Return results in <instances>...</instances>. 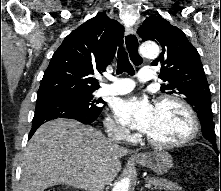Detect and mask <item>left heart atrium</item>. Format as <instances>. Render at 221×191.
<instances>
[{
  "instance_id": "left-heart-atrium-1",
  "label": "left heart atrium",
  "mask_w": 221,
  "mask_h": 191,
  "mask_svg": "<svg viewBox=\"0 0 221 191\" xmlns=\"http://www.w3.org/2000/svg\"><path fill=\"white\" fill-rule=\"evenodd\" d=\"M114 112L122 123L147 133L154 120L155 107L145 98L129 96L115 102Z\"/></svg>"
}]
</instances>
